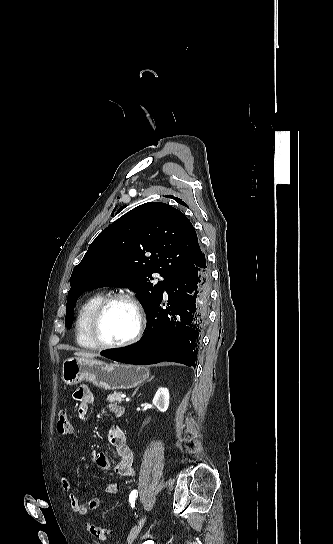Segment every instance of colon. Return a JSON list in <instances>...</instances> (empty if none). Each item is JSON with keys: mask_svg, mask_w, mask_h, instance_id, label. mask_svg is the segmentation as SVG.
Masks as SVG:
<instances>
[{"mask_svg": "<svg viewBox=\"0 0 333 544\" xmlns=\"http://www.w3.org/2000/svg\"><path fill=\"white\" fill-rule=\"evenodd\" d=\"M73 425L69 418L62 414L60 415L58 421H57V431L61 435H69L73 433ZM87 529L90 532V534L98 539L105 540L109 536V530L101 525H98L96 523H89L87 525Z\"/></svg>", "mask_w": 333, "mask_h": 544, "instance_id": "5ec220e1", "label": "colon"}]
</instances>
